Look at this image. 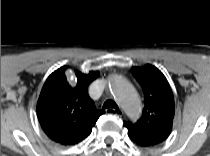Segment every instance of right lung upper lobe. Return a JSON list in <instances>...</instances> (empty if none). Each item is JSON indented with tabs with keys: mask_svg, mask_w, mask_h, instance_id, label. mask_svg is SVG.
<instances>
[{
	"mask_svg": "<svg viewBox=\"0 0 210 156\" xmlns=\"http://www.w3.org/2000/svg\"><path fill=\"white\" fill-rule=\"evenodd\" d=\"M66 68L57 69L46 80L37 103V116L50 139L73 145L91 133L104 111L97 110L88 96V86L99 72L85 75L77 71V83L72 86L66 79Z\"/></svg>",
	"mask_w": 210,
	"mask_h": 156,
	"instance_id": "cb5924a9",
	"label": "right lung upper lobe"
}]
</instances>
